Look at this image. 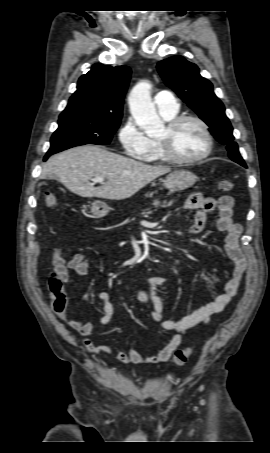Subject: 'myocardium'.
I'll return each mask as SVG.
<instances>
[{"label": "myocardium", "mask_w": 270, "mask_h": 453, "mask_svg": "<svg viewBox=\"0 0 270 453\" xmlns=\"http://www.w3.org/2000/svg\"><path fill=\"white\" fill-rule=\"evenodd\" d=\"M195 122L197 123L205 136L206 139V148L205 150L198 156L193 157V158H182L177 156L171 146V136L175 132V130L181 126L185 122ZM167 135L164 138L158 139V144L160 146V149L164 155V157L174 163V164H181V165H186V164H194L198 163L205 158H207L212 150H213V136L210 132L208 124L201 119L200 117L194 116V115H180V116H174L170 120H168L167 125Z\"/></svg>", "instance_id": "obj_1"}]
</instances>
